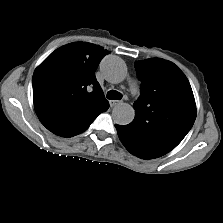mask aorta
Here are the masks:
<instances>
[{
  "label": "aorta",
  "mask_w": 223,
  "mask_h": 223,
  "mask_svg": "<svg viewBox=\"0 0 223 223\" xmlns=\"http://www.w3.org/2000/svg\"><path fill=\"white\" fill-rule=\"evenodd\" d=\"M105 78L111 83H120L126 77V65L116 56H107L100 64ZM135 117L134 108L128 103L117 104L112 111L113 121L118 125H128Z\"/></svg>",
  "instance_id": "1"
}]
</instances>
